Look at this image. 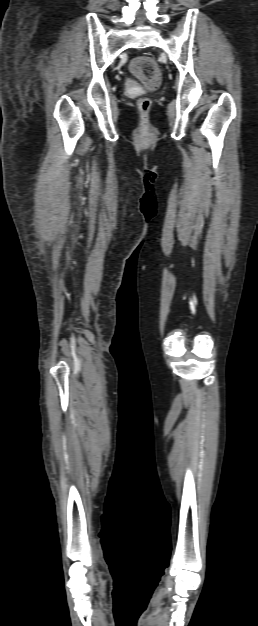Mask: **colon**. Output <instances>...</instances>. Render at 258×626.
<instances>
[{
    "instance_id": "1",
    "label": "colon",
    "mask_w": 258,
    "mask_h": 626,
    "mask_svg": "<svg viewBox=\"0 0 258 626\" xmlns=\"http://www.w3.org/2000/svg\"><path fill=\"white\" fill-rule=\"evenodd\" d=\"M131 73L141 81L148 89L154 90L161 81V71L156 62L148 56L136 57L130 65ZM138 108L142 115L141 128H148V113L151 108L149 98L143 97L138 100Z\"/></svg>"
}]
</instances>
